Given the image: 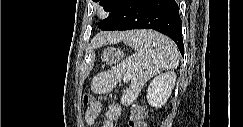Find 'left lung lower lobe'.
Here are the masks:
<instances>
[{"instance_id": "0a47b994", "label": "left lung lower lobe", "mask_w": 243, "mask_h": 127, "mask_svg": "<svg viewBox=\"0 0 243 127\" xmlns=\"http://www.w3.org/2000/svg\"><path fill=\"white\" fill-rule=\"evenodd\" d=\"M101 29H154L169 36L184 54L182 21L175 0H123Z\"/></svg>"}]
</instances>
